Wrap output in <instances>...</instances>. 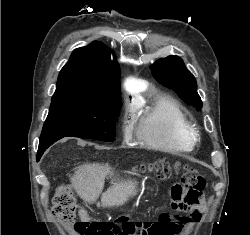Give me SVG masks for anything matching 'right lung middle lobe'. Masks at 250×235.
Returning <instances> with one entry per match:
<instances>
[{
	"instance_id": "dd1d6c3e",
	"label": "right lung middle lobe",
	"mask_w": 250,
	"mask_h": 235,
	"mask_svg": "<svg viewBox=\"0 0 250 235\" xmlns=\"http://www.w3.org/2000/svg\"><path fill=\"white\" fill-rule=\"evenodd\" d=\"M120 107L119 94L53 98L40 140L71 136L112 142Z\"/></svg>"
}]
</instances>
